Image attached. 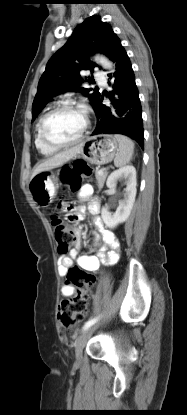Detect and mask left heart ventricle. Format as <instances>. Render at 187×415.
Wrapping results in <instances>:
<instances>
[{
  "label": "left heart ventricle",
  "mask_w": 187,
  "mask_h": 415,
  "mask_svg": "<svg viewBox=\"0 0 187 415\" xmlns=\"http://www.w3.org/2000/svg\"><path fill=\"white\" fill-rule=\"evenodd\" d=\"M85 117L75 108H62L47 121L46 135L54 141L65 142L75 139L83 130Z\"/></svg>",
  "instance_id": "left-heart-ventricle-1"
}]
</instances>
